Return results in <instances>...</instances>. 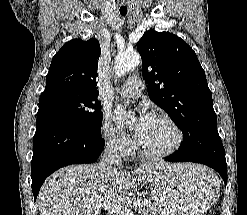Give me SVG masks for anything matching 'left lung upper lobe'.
<instances>
[{"mask_svg": "<svg viewBox=\"0 0 247 215\" xmlns=\"http://www.w3.org/2000/svg\"><path fill=\"white\" fill-rule=\"evenodd\" d=\"M137 49L149 97L181 129L182 144H191L193 135L217 131L212 93L192 48L172 33L151 30Z\"/></svg>", "mask_w": 247, "mask_h": 215, "instance_id": "5c2ea615", "label": "left lung upper lobe"}]
</instances>
